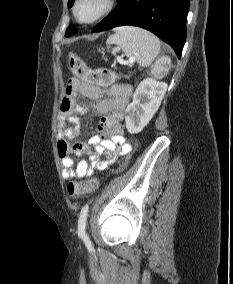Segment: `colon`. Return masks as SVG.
Instances as JSON below:
<instances>
[{
  "mask_svg": "<svg viewBox=\"0 0 233 284\" xmlns=\"http://www.w3.org/2000/svg\"><path fill=\"white\" fill-rule=\"evenodd\" d=\"M69 66L73 74L91 84L98 86H109L117 79V74L107 68L91 69L87 64L76 54H69ZM172 67V61L169 56L163 55L157 59L154 64L153 72L157 79L164 78ZM98 187L96 178H89L80 182H70L67 185L69 196H82L95 191Z\"/></svg>",
  "mask_w": 233,
  "mask_h": 284,
  "instance_id": "1",
  "label": "colon"
}]
</instances>
